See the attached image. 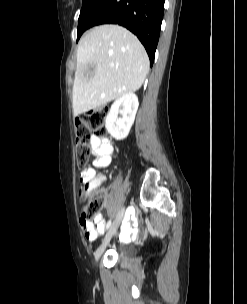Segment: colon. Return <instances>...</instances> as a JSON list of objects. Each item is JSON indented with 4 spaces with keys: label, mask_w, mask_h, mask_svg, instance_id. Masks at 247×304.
<instances>
[{
    "label": "colon",
    "mask_w": 247,
    "mask_h": 304,
    "mask_svg": "<svg viewBox=\"0 0 247 304\" xmlns=\"http://www.w3.org/2000/svg\"><path fill=\"white\" fill-rule=\"evenodd\" d=\"M107 108L99 107L93 109L75 120L76 132V162L78 167L83 168L90 155L91 132L96 135L105 133V122L107 118ZM91 188L88 184L83 183L79 189V199L81 203V221L91 223L105 203L104 196L90 197Z\"/></svg>",
    "instance_id": "5ec220e1"
}]
</instances>
